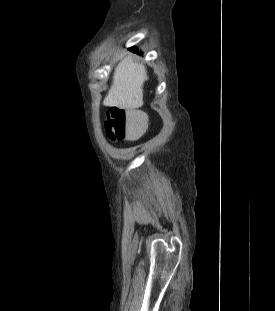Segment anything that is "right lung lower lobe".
Returning a JSON list of instances; mask_svg holds the SVG:
<instances>
[{"mask_svg": "<svg viewBox=\"0 0 275 311\" xmlns=\"http://www.w3.org/2000/svg\"><path fill=\"white\" fill-rule=\"evenodd\" d=\"M129 50L134 52V53H138L139 55L141 54L140 52H138V48H136V47L129 48Z\"/></svg>", "mask_w": 275, "mask_h": 311, "instance_id": "right-lung-lower-lobe-1", "label": "right lung lower lobe"}]
</instances>
